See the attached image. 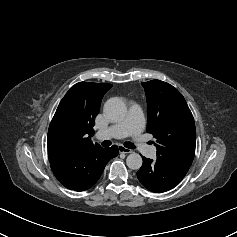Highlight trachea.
<instances>
[{
  "label": "trachea",
  "instance_id": "1",
  "mask_svg": "<svg viewBox=\"0 0 237 237\" xmlns=\"http://www.w3.org/2000/svg\"><path fill=\"white\" fill-rule=\"evenodd\" d=\"M101 145H102L103 147H108V146L111 145V141L105 140V141L101 142ZM124 146L127 147V148H129V149H135V145H134L133 143H131V142H125V143H124Z\"/></svg>",
  "mask_w": 237,
  "mask_h": 237
}]
</instances>
